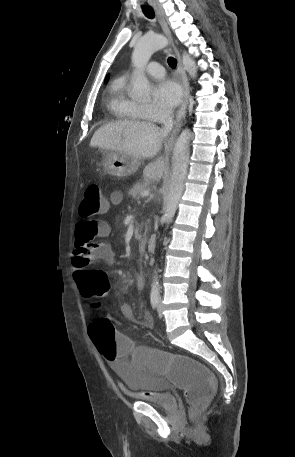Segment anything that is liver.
Segmentation results:
<instances>
[{
  "mask_svg": "<svg viewBox=\"0 0 295 457\" xmlns=\"http://www.w3.org/2000/svg\"><path fill=\"white\" fill-rule=\"evenodd\" d=\"M167 133L150 122H113L103 125L94 133L90 146L125 153L137 159L153 158L160 151ZM164 169V158L160 156L145 166L143 176L147 182H159Z\"/></svg>",
  "mask_w": 295,
  "mask_h": 457,
  "instance_id": "6515ba94",
  "label": "liver"
}]
</instances>
